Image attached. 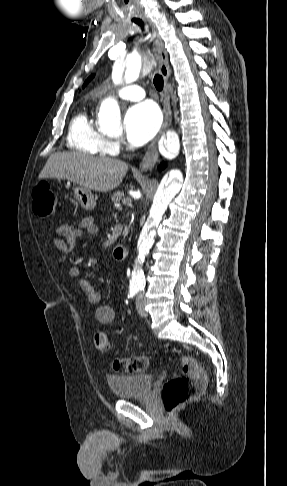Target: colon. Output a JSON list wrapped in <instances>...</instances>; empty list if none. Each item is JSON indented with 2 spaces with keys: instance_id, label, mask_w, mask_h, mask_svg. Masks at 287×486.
I'll list each match as a JSON object with an SVG mask.
<instances>
[{
  "instance_id": "obj_1",
  "label": "colon",
  "mask_w": 287,
  "mask_h": 486,
  "mask_svg": "<svg viewBox=\"0 0 287 486\" xmlns=\"http://www.w3.org/2000/svg\"><path fill=\"white\" fill-rule=\"evenodd\" d=\"M32 196L33 211L38 217H48L55 211L56 194L47 181L38 182L33 188ZM93 340L96 350L106 352L109 349V341L105 332L96 331ZM180 361L181 374L168 380L162 390L164 407L169 414H173L182 405L197 397L206 384V375L196 359L184 355ZM149 364L148 357L142 355L115 358L110 361L111 369L118 373L141 372L146 370Z\"/></svg>"
}]
</instances>
